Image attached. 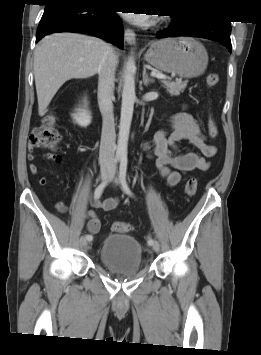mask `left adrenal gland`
<instances>
[{
	"label": "left adrenal gland",
	"mask_w": 261,
	"mask_h": 355,
	"mask_svg": "<svg viewBox=\"0 0 261 355\" xmlns=\"http://www.w3.org/2000/svg\"><path fill=\"white\" fill-rule=\"evenodd\" d=\"M154 82V79L149 77L147 72H146V68L144 67L143 69V84L144 86H148L149 84L153 83Z\"/></svg>",
	"instance_id": "obj_1"
}]
</instances>
